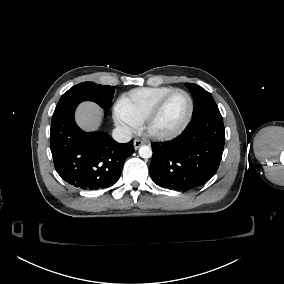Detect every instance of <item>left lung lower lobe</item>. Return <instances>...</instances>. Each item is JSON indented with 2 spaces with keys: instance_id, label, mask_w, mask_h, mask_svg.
<instances>
[{
  "instance_id": "0a47b994",
  "label": "left lung lower lobe",
  "mask_w": 284,
  "mask_h": 284,
  "mask_svg": "<svg viewBox=\"0 0 284 284\" xmlns=\"http://www.w3.org/2000/svg\"><path fill=\"white\" fill-rule=\"evenodd\" d=\"M224 143L225 130L219 111L195 117L174 140L152 145L150 176L155 184L170 190L200 187L216 173Z\"/></svg>"
}]
</instances>
